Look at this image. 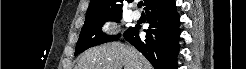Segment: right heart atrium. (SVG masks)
I'll list each match as a JSON object with an SVG mask.
<instances>
[{"instance_id": "right-heart-atrium-1", "label": "right heart atrium", "mask_w": 246, "mask_h": 69, "mask_svg": "<svg viewBox=\"0 0 246 69\" xmlns=\"http://www.w3.org/2000/svg\"><path fill=\"white\" fill-rule=\"evenodd\" d=\"M113 27H114L113 23L107 22V23L104 24L103 29L106 32H110Z\"/></svg>"}]
</instances>
